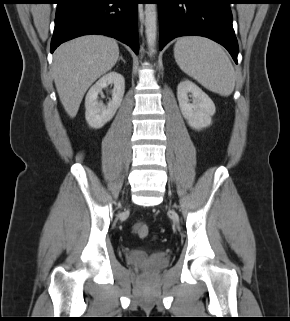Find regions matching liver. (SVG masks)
<instances>
[{
	"mask_svg": "<svg viewBox=\"0 0 290 321\" xmlns=\"http://www.w3.org/2000/svg\"><path fill=\"white\" fill-rule=\"evenodd\" d=\"M119 58L117 42L86 35L60 45L54 53L53 79L67 114L74 118L88 88L111 70Z\"/></svg>",
	"mask_w": 290,
	"mask_h": 321,
	"instance_id": "obj_1",
	"label": "liver"
}]
</instances>
